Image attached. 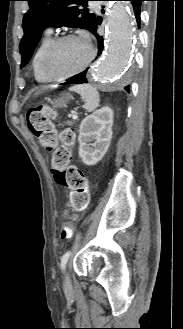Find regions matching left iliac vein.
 <instances>
[{
    "mask_svg": "<svg viewBox=\"0 0 183 329\" xmlns=\"http://www.w3.org/2000/svg\"><path fill=\"white\" fill-rule=\"evenodd\" d=\"M64 290L65 292L71 291V280H70V274L68 271L64 274Z\"/></svg>",
    "mask_w": 183,
    "mask_h": 329,
    "instance_id": "1",
    "label": "left iliac vein"
}]
</instances>
